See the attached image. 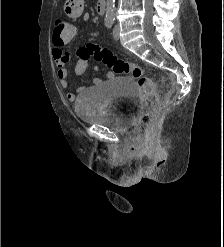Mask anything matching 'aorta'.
Instances as JSON below:
<instances>
[{
	"instance_id": "762f6f07",
	"label": "aorta",
	"mask_w": 224,
	"mask_h": 247,
	"mask_svg": "<svg viewBox=\"0 0 224 247\" xmlns=\"http://www.w3.org/2000/svg\"><path fill=\"white\" fill-rule=\"evenodd\" d=\"M106 18H108V20H114L115 0H106Z\"/></svg>"
}]
</instances>
